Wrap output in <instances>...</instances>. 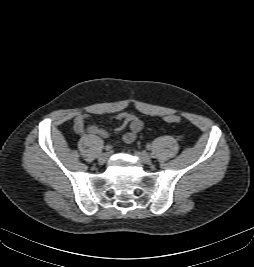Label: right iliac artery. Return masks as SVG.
Segmentation results:
<instances>
[{
	"label": "right iliac artery",
	"instance_id": "1",
	"mask_svg": "<svg viewBox=\"0 0 254 267\" xmlns=\"http://www.w3.org/2000/svg\"><path fill=\"white\" fill-rule=\"evenodd\" d=\"M111 148H112L111 145H106V146H105V150H107V151H110Z\"/></svg>",
	"mask_w": 254,
	"mask_h": 267
}]
</instances>
